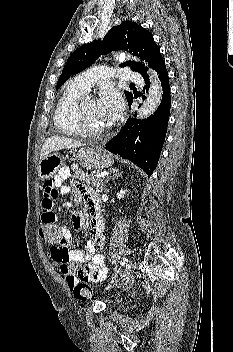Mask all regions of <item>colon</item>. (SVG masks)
Segmentation results:
<instances>
[{
	"label": "colon",
	"mask_w": 233,
	"mask_h": 352,
	"mask_svg": "<svg viewBox=\"0 0 233 352\" xmlns=\"http://www.w3.org/2000/svg\"><path fill=\"white\" fill-rule=\"evenodd\" d=\"M41 237L52 246H62L65 243V237L60 227L56 225L43 224L40 228ZM72 292L78 300L85 301L91 295V288L84 282L76 284Z\"/></svg>",
	"instance_id": "5ec220e1"
}]
</instances>
